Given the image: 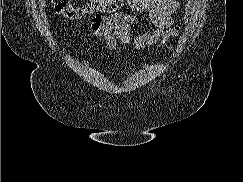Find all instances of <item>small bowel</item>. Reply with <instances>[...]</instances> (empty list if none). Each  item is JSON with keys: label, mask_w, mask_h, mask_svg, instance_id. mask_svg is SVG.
Listing matches in <instances>:
<instances>
[{"label": "small bowel", "mask_w": 243, "mask_h": 182, "mask_svg": "<svg viewBox=\"0 0 243 182\" xmlns=\"http://www.w3.org/2000/svg\"><path fill=\"white\" fill-rule=\"evenodd\" d=\"M134 12L148 14L150 25L143 33L132 38L131 28L137 17L116 12L111 15L96 14L89 31L101 48L118 51V42L142 50L155 45L171 48V40L178 35L174 27V15L179 7L178 0H129Z\"/></svg>", "instance_id": "obj_1"}]
</instances>
